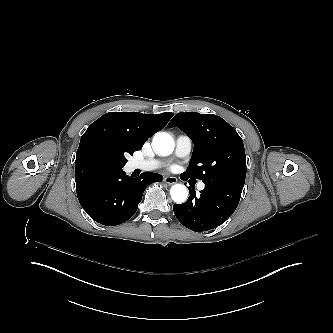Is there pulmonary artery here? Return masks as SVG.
Returning <instances> with one entry per match:
<instances>
[{
	"instance_id": "1",
	"label": "pulmonary artery",
	"mask_w": 333,
	"mask_h": 333,
	"mask_svg": "<svg viewBox=\"0 0 333 333\" xmlns=\"http://www.w3.org/2000/svg\"><path fill=\"white\" fill-rule=\"evenodd\" d=\"M192 140L187 135H179L176 138V145H175V151L174 156L177 158H186L190 155L192 151ZM171 159H150L146 161H136L133 165V168H140L145 171H152L160 169L164 166H166ZM204 187V184L202 181H200L197 185V188L199 190H202Z\"/></svg>"
}]
</instances>
